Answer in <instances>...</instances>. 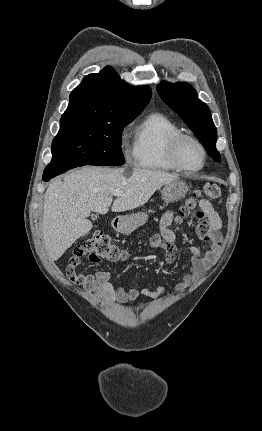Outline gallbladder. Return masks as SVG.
Masks as SVG:
<instances>
[{
  "label": "gallbladder",
  "instance_id": "obj_1",
  "mask_svg": "<svg viewBox=\"0 0 262 431\" xmlns=\"http://www.w3.org/2000/svg\"><path fill=\"white\" fill-rule=\"evenodd\" d=\"M91 217L93 220H95L97 218V216L95 214H92Z\"/></svg>",
  "mask_w": 262,
  "mask_h": 431
}]
</instances>
